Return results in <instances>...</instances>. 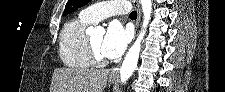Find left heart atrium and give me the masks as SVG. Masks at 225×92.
Returning <instances> with one entry per match:
<instances>
[{
  "label": "left heart atrium",
  "mask_w": 225,
  "mask_h": 92,
  "mask_svg": "<svg viewBox=\"0 0 225 92\" xmlns=\"http://www.w3.org/2000/svg\"><path fill=\"white\" fill-rule=\"evenodd\" d=\"M130 30L122 23L114 20L109 23L101 45V53L105 58H118L125 50L130 40Z\"/></svg>",
  "instance_id": "39dd6f15"
}]
</instances>
